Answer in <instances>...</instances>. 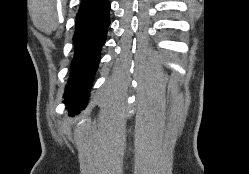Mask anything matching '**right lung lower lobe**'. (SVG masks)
<instances>
[{
    "label": "right lung lower lobe",
    "instance_id": "obj_1",
    "mask_svg": "<svg viewBox=\"0 0 249 174\" xmlns=\"http://www.w3.org/2000/svg\"><path fill=\"white\" fill-rule=\"evenodd\" d=\"M109 10L108 0H92L81 4L77 13L73 36L75 55L64 94V103L71 115L79 113L86 106L110 24Z\"/></svg>",
    "mask_w": 249,
    "mask_h": 174
}]
</instances>
